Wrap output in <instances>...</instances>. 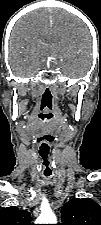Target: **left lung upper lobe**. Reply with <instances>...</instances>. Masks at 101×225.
Masks as SVG:
<instances>
[{
  "instance_id": "left-lung-upper-lobe-1",
  "label": "left lung upper lobe",
  "mask_w": 101,
  "mask_h": 225,
  "mask_svg": "<svg viewBox=\"0 0 101 225\" xmlns=\"http://www.w3.org/2000/svg\"><path fill=\"white\" fill-rule=\"evenodd\" d=\"M60 225H101V207L88 198L71 199L61 210Z\"/></svg>"
}]
</instances>
